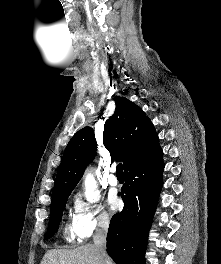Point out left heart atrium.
<instances>
[{"instance_id": "39dd6f15", "label": "left heart atrium", "mask_w": 221, "mask_h": 264, "mask_svg": "<svg viewBox=\"0 0 221 264\" xmlns=\"http://www.w3.org/2000/svg\"><path fill=\"white\" fill-rule=\"evenodd\" d=\"M109 204L112 210H116L120 207L121 205V200L118 198L116 194H112L109 197Z\"/></svg>"}]
</instances>
